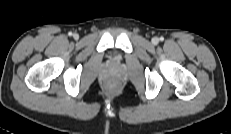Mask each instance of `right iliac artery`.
<instances>
[{
    "label": "right iliac artery",
    "mask_w": 231,
    "mask_h": 134,
    "mask_svg": "<svg viewBox=\"0 0 231 134\" xmlns=\"http://www.w3.org/2000/svg\"><path fill=\"white\" fill-rule=\"evenodd\" d=\"M68 35H69V36H72V32H69Z\"/></svg>",
    "instance_id": "82829eb1"
}]
</instances>
